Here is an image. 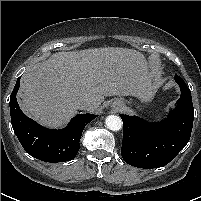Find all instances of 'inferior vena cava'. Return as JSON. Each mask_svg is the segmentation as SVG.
Returning <instances> with one entry per match:
<instances>
[{
  "label": "inferior vena cava",
  "mask_w": 201,
  "mask_h": 201,
  "mask_svg": "<svg viewBox=\"0 0 201 201\" xmlns=\"http://www.w3.org/2000/svg\"><path fill=\"white\" fill-rule=\"evenodd\" d=\"M77 108L81 110H93L96 108V103L91 100H79L76 102Z\"/></svg>",
  "instance_id": "obj_1"
}]
</instances>
